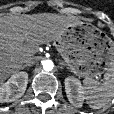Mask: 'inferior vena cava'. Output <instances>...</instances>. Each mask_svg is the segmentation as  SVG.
Masks as SVG:
<instances>
[{"instance_id":"obj_1","label":"inferior vena cava","mask_w":114,"mask_h":114,"mask_svg":"<svg viewBox=\"0 0 114 114\" xmlns=\"http://www.w3.org/2000/svg\"><path fill=\"white\" fill-rule=\"evenodd\" d=\"M34 63H35V60H32V59H28V60L25 61L26 66H31Z\"/></svg>"}]
</instances>
